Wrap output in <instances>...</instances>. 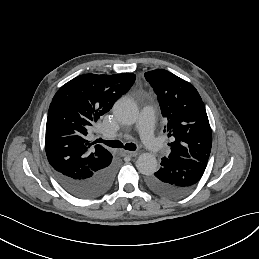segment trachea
<instances>
[{
  "label": "trachea",
  "instance_id": "1",
  "mask_svg": "<svg viewBox=\"0 0 259 259\" xmlns=\"http://www.w3.org/2000/svg\"><path fill=\"white\" fill-rule=\"evenodd\" d=\"M97 142H103L105 145L112 148H124L125 150L135 151L136 145L134 143H126L125 145L119 140H102L97 139Z\"/></svg>",
  "mask_w": 259,
  "mask_h": 259
}]
</instances>
